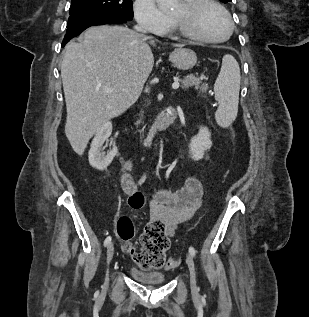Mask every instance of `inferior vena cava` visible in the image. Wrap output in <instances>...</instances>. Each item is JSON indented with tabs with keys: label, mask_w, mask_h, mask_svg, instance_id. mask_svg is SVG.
Listing matches in <instances>:
<instances>
[{
	"label": "inferior vena cava",
	"mask_w": 309,
	"mask_h": 317,
	"mask_svg": "<svg viewBox=\"0 0 309 317\" xmlns=\"http://www.w3.org/2000/svg\"><path fill=\"white\" fill-rule=\"evenodd\" d=\"M135 29H137L138 31H141V28H139V27H135Z\"/></svg>",
	"instance_id": "inferior-vena-cava-1"
}]
</instances>
